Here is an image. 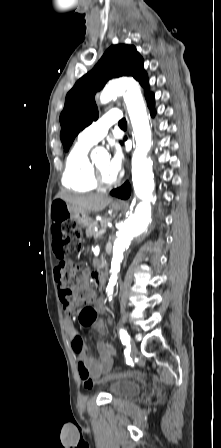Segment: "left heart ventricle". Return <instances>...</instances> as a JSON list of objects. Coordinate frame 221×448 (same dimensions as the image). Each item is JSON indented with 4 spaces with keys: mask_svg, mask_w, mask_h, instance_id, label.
Listing matches in <instances>:
<instances>
[{
    "mask_svg": "<svg viewBox=\"0 0 221 448\" xmlns=\"http://www.w3.org/2000/svg\"><path fill=\"white\" fill-rule=\"evenodd\" d=\"M108 158H102L96 163V166L107 179H113L107 172Z\"/></svg>",
    "mask_w": 221,
    "mask_h": 448,
    "instance_id": "b2bd125f",
    "label": "left heart ventricle"
}]
</instances>
